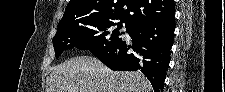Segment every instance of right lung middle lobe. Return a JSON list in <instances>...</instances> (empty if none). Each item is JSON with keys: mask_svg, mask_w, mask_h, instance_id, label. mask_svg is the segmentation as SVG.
Instances as JSON below:
<instances>
[{"mask_svg": "<svg viewBox=\"0 0 225 92\" xmlns=\"http://www.w3.org/2000/svg\"><path fill=\"white\" fill-rule=\"evenodd\" d=\"M117 28L114 29V26ZM126 26L127 33L131 27ZM122 23L114 22H91L80 20L74 22L70 27L57 30L53 38L55 56L58 58L64 50L74 48L88 49L91 52L105 50L122 41L119 36Z\"/></svg>", "mask_w": 225, "mask_h": 92, "instance_id": "right-lung-middle-lobe-1", "label": "right lung middle lobe"}]
</instances>
